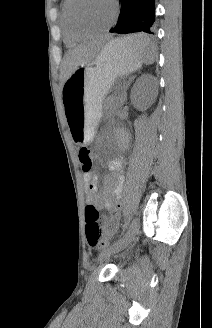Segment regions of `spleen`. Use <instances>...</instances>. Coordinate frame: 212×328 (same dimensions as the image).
<instances>
[{
  "label": "spleen",
  "mask_w": 212,
  "mask_h": 328,
  "mask_svg": "<svg viewBox=\"0 0 212 328\" xmlns=\"http://www.w3.org/2000/svg\"><path fill=\"white\" fill-rule=\"evenodd\" d=\"M145 37L141 34H137V35H132V36H129V37H126L124 39H115V41L117 42V44L119 45H123L125 47H127L128 49L130 50H143V51H146L145 52V55H144V62L146 64H151L153 63L154 61V55H155V51L153 49H149V48H130V44L133 43V42H137L139 40H142L144 39Z\"/></svg>",
  "instance_id": "spleen-1"
}]
</instances>
